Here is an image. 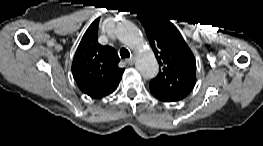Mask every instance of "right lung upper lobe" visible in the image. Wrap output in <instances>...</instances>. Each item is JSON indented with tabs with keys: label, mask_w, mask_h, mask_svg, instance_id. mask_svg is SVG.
<instances>
[{
	"label": "right lung upper lobe",
	"mask_w": 263,
	"mask_h": 146,
	"mask_svg": "<svg viewBox=\"0 0 263 146\" xmlns=\"http://www.w3.org/2000/svg\"><path fill=\"white\" fill-rule=\"evenodd\" d=\"M120 59L110 46L98 43V22L86 30L76 50L73 62V77L80 90L99 99L116 90L124 72L119 68Z\"/></svg>",
	"instance_id": "1"
}]
</instances>
